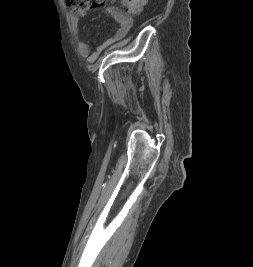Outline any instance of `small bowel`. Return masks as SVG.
Here are the masks:
<instances>
[{"label":"small bowel","instance_id":"c3829d8e","mask_svg":"<svg viewBox=\"0 0 253 267\" xmlns=\"http://www.w3.org/2000/svg\"><path fill=\"white\" fill-rule=\"evenodd\" d=\"M107 12L118 24L117 29L108 39H106L101 45H99L95 51H91L90 46L84 40H78V52L82 57L86 58L88 62H94L104 50H106L111 45L121 41L130 31L133 25L132 17L121 12L118 8L109 7L107 9ZM70 19L74 29L77 30L79 22L78 16L76 14H71Z\"/></svg>","mask_w":253,"mask_h":267}]
</instances>
